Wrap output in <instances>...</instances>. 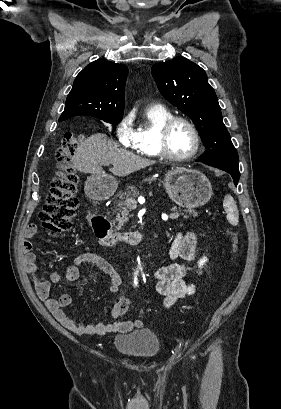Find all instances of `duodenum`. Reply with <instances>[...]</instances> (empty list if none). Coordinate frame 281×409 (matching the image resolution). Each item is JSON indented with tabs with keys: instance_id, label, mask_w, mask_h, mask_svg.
Wrapping results in <instances>:
<instances>
[{
	"instance_id": "410a0bca",
	"label": "duodenum",
	"mask_w": 281,
	"mask_h": 409,
	"mask_svg": "<svg viewBox=\"0 0 281 409\" xmlns=\"http://www.w3.org/2000/svg\"><path fill=\"white\" fill-rule=\"evenodd\" d=\"M87 220L93 236L101 244L111 246L116 243L137 245L140 243V234L137 232L111 233L106 218L102 214L87 213Z\"/></svg>"
}]
</instances>
